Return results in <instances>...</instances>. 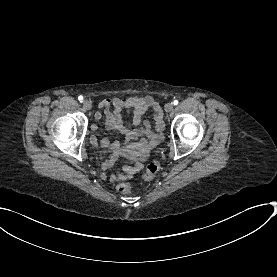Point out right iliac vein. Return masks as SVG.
<instances>
[{
    "label": "right iliac vein",
    "instance_id": "obj_1",
    "mask_svg": "<svg viewBox=\"0 0 277 277\" xmlns=\"http://www.w3.org/2000/svg\"><path fill=\"white\" fill-rule=\"evenodd\" d=\"M83 107L85 110H90L92 108V103L88 100L83 101Z\"/></svg>",
    "mask_w": 277,
    "mask_h": 277
}]
</instances>
